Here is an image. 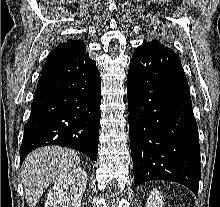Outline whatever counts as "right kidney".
Returning <instances> with one entry per match:
<instances>
[{"label": "right kidney", "mask_w": 220, "mask_h": 207, "mask_svg": "<svg viewBox=\"0 0 220 207\" xmlns=\"http://www.w3.org/2000/svg\"><path fill=\"white\" fill-rule=\"evenodd\" d=\"M87 173L77 167L60 176L47 194L45 207H81Z\"/></svg>", "instance_id": "obj_1"}]
</instances>
